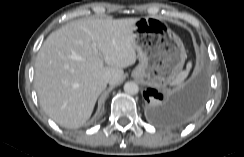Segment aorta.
<instances>
[{"label":"aorta","mask_w":244,"mask_h":157,"mask_svg":"<svg viewBox=\"0 0 244 157\" xmlns=\"http://www.w3.org/2000/svg\"><path fill=\"white\" fill-rule=\"evenodd\" d=\"M124 91L127 94L135 95L139 92V86L135 82H126L124 84Z\"/></svg>","instance_id":"1"}]
</instances>
